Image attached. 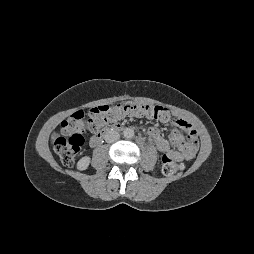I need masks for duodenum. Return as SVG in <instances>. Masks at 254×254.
<instances>
[{
    "label": "duodenum",
    "instance_id": "1",
    "mask_svg": "<svg viewBox=\"0 0 254 254\" xmlns=\"http://www.w3.org/2000/svg\"><path fill=\"white\" fill-rule=\"evenodd\" d=\"M124 129H125V127L122 124H114L112 126V129H105V130L100 131V132L96 133L95 135H93L90 139V144L93 147H96L102 142L104 137L106 135H108L111 131H121V130H124Z\"/></svg>",
    "mask_w": 254,
    "mask_h": 254
}]
</instances>
